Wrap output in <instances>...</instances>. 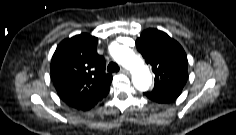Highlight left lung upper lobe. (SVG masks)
Returning <instances> with one entry per match:
<instances>
[{"instance_id":"obj_1","label":"left lung upper lobe","mask_w":236,"mask_h":135,"mask_svg":"<svg viewBox=\"0 0 236 135\" xmlns=\"http://www.w3.org/2000/svg\"><path fill=\"white\" fill-rule=\"evenodd\" d=\"M136 47L155 74L153 90L185 85L188 61L177 41L160 30L147 29L136 40Z\"/></svg>"}]
</instances>
